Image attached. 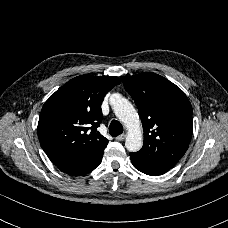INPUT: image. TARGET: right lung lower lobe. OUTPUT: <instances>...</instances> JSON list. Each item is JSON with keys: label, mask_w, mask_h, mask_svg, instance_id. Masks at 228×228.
Masks as SVG:
<instances>
[{"label": "right lung lower lobe", "mask_w": 228, "mask_h": 228, "mask_svg": "<svg viewBox=\"0 0 228 228\" xmlns=\"http://www.w3.org/2000/svg\"><path fill=\"white\" fill-rule=\"evenodd\" d=\"M105 147L99 149L91 157H89L88 159H86L85 161H83L79 164L72 165V166H66V167H62L59 169L62 172L73 175V176L87 174L99 166V164L102 161V156H103Z\"/></svg>", "instance_id": "right-lung-lower-lobe-1"}]
</instances>
